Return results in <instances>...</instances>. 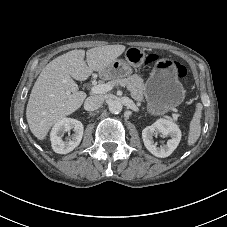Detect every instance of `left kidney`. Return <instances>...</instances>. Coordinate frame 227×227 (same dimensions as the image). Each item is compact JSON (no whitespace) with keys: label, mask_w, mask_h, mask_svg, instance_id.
<instances>
[{"label":"left kidney","mask_w":227,"mask_h":227,"mask_svg":"<svg viewBox=\"0 0 227 227\" xmlns=\"http://www.w3.org/2000/svg\"><path fill=\"white\" fill-rule=\"evenodd\" d=\"M161 133L163 136H170L165 146L158 147L153 140V136ZM181 130L174 122L166 119H159L151 126H147L142 131V139L145 147L154 156L165 158L173 153L181 140Z\"/></svg>","instance_id":"1"}]
</instances>
